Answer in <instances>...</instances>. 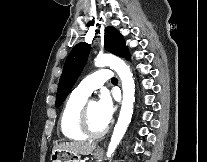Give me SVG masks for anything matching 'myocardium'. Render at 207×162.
I'll return each instance as SVG.
<instances>
[{
	"instance_id": "obj_1",
	"label": "myocardium",
	"mask_w": 207,
	"mask_h": 162,
	"mask_svg": "<svg viewBox=\"0 0 207 162\" xmlns=\"http://www.w3.org/2000/svg\"><path fill=\"white\" fill-rule=\"evenodd\" d=\"M92 101H86L83 107L80 110L78 116V128L80 132L89 138H100L108 131V126H105L103 129L99 131H94L90 127L89 123V106Z\"/></svg>"
}]
</instances>
